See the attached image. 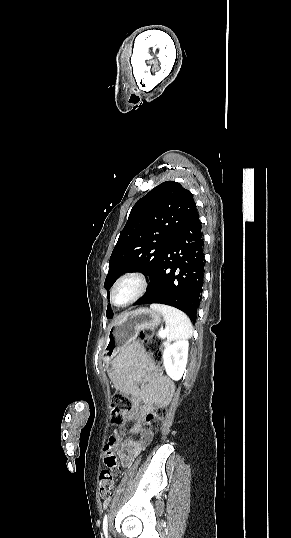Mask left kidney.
I'll list each match as a JSON object with an SVG mask.
<instances>
[{
    "label": "left kidney",
    "instance_id": "obj_1",
    "mask_svg": "<svg viewBox=\"0 0 291 538\" xmlns=\"http://www.w3.org/2000/svg\"><path fill=\"white\" fill-rule=\"evenodd\" d=\"M189 342L179 340L172 344H166L163 351V363L167 375L177 381L181 379L187 364Z\"/></svg>",
    "mask_w": 291,
    "mask_h": 538
}]
</instances>
